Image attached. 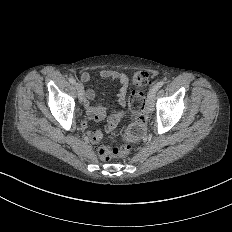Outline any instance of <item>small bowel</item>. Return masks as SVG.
<instances>
[{
  "instance_id": "obj_1",
  "label": "small bowel",
  "mask_w": 232,
  "mask_h": 232,
  "mask_svg": "<svg viewBox=\"0 0 232 232\" xmlns=\"http://www.w3.org/2000/svg\"><path fill=\"white\" fill-rule=\"evenodd\" d=\"M101 80H112L120 85L119 89V104L125 106V98L128 91L129 79L123 72L110 69H102L97 74ZM80 85H86L91 82V77L88 73L82 71L78 75ZM95 97V92L91 88H80L79 98L82 104L83 115L80 117L75 128L76 136L85 143H98L104 138V133L101 130L90 131L89 123L92 120H105V130L110 132L115 129L116 123L126 119L128 113L124 110L108 111L105 108L91 105V100Z\"/></svg>"
}]
</instances>
